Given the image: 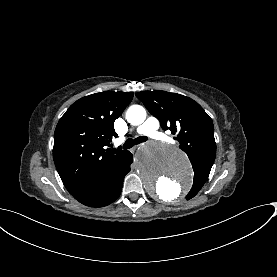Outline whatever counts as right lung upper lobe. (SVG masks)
<instances>
[{"instance_id": "cb5924a9", "label": "right lung upper lobe", "mask_w": 277, "mask_h": 277, "mask_svg": "<svg viewBox=\"0 0 277 277\" xmlns=\"http://www.w3.org/2000/svg\"><path fill=\"white\" fill-rule=\"evenodd\" d=\"M133 92L104 91L73 103L54 133L53 158L66 189L72 195L99 177L127 151L106 149L114 121L132 101Z\"/></svg>"}]
</instances>
